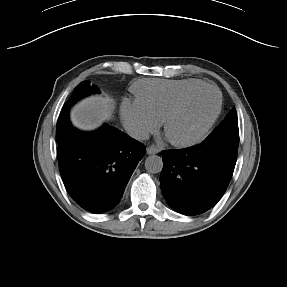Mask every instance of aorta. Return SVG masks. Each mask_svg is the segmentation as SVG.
I'll return each mask as SVG.
<instances>
[{
  "label": "aorta",
  "mask_w": 287,
  "mask_h": 287,
  "mask_svg": "<svg viewBox=\"0 0 287 287\" xmlns=\"http://www.w3.org/2000/svg\"><path fill=\"white\" fill-rule=\"evenodd\" d=\"M145 168L147 172L156 174L162 171L163 162L162 158L158 155H150L146 158Z\"/></svg>",
  "instance_id": "1"
}]
</instances>
